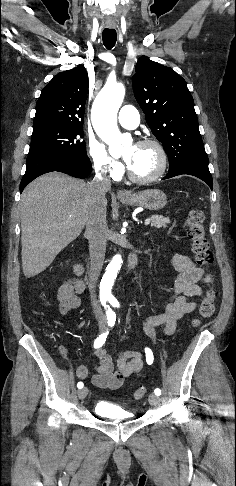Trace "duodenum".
I'll list each match as a JSON object with an SVG mask.
<instances>
[{
	"label": "duodenum",
	"instance_id": "1",
	"mask_svg": "<svg viewBox=\"0 0 236 486\" xmlns=\"http://www.w3.org/2000/svg\"><path fill=\"white\" fill-rule=\"evenodd\" d=\"M137 258L135 254H130L128 259V269L131 270L135 267ZM73 271L76 275H82L84 273V266L81 263H75L73 265Z\"/></svg>",
	"mask_w": 236,
	"mask_h": 486
}]
</instances>
